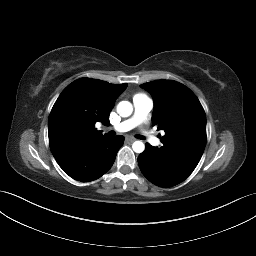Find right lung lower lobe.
Segmentation results:
<instances>
[{"label":"right lung lower lobe","mask_w":256,"mask_h":256,"mask_svg":"<svg viewBox=\"0 0 256 256\" xmlns=\"http://www.w3.org/2000/svg\"><path fill=\"white\" fill-rule=\"evenodd\" d=\"M124 139L121 135L112 138L104 136L65 149L54 157L63 171L73 179L93 181L111 168Z\"/></svg>","instance_id":"obj_1"}]
</instances>
